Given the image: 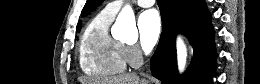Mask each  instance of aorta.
<instances>
[{"mask_svg":"<svg viewBox=\"0 0 260 84\" xmlns=\"http://www.w3.org/2000/svg\"><path fill=\"white\" fill-rule=\"evenodd\" d=\"M115 27L118 36L125 41H135L138 37L135 16L132 8L125 6L117 16ZM187 49L181 37L177 38V60L180 72H183L186 66Z\"/></svg>","mask_w":260,"mask_h":84,"instance_id":"obj_1","label":"aorta"}]
</instances>
